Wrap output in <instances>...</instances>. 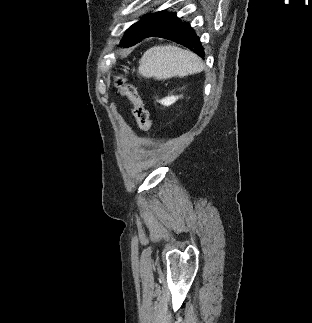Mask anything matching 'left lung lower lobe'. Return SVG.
I'll use <instances>...</instances> for the list:
<instances>
[{"label": "left lung lower lobe", "mask_w": 312, "mask_h": 323, "mask_svg": "<svg viewBox=\"0 0 312 323\" xmlns=\"http://www.w3.org/2000/svg\"><path fill=\"white\" fill-rule=\"evenodd\" d=\"M151 36L175 41L188 47L199 56H205L199 37L189 23L183 22L176 17V13H169L165 18L157 22L144 38Z\"/></svg>", "instance_id": "1"}]
</instances>
